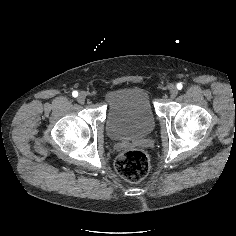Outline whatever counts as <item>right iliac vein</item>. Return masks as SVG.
Masks as SVG:
<instances>
[{"label": "right iliac vein", "instance_id": "obj_1", "mask_svg": "<svg viewBox=\"0 0 236 236\" xmlns=\"http://www.w3.org/2000/svg\"><path fill=\"white\" fill-rule=\"evenodd\" d=\"M86 93L85 92H81L77 98V101L81 104H83L86 100Z\"/></svg>", "mask_w": 236, "mask_h": 236}]
</instances>
